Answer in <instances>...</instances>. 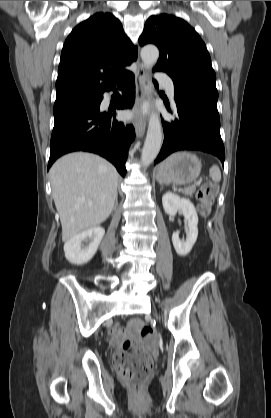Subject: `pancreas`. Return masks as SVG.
I'll return each mask as SVG.
<instances>
[{
  "instance_id": "1",
  "label": "pancreas",
  "mask_w": 271,
  "mask_h": 418,
  "mask_svg": "<svg viewBox=\"0 0 271 418\" xmlns=\"http://www.w3.org/2000/svg\"><path fill=\"white\" fill-rule=\"evenodd\" d=\"M195 190H196V186L192 185L190 187H187L185 189L180 190V192H182L186 196H192L194 194Z\"/></svg>"
}]
</instances>
